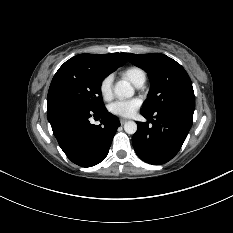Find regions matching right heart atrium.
<instances>
[{"label":"right heart atrium","instance_id":"obj_1","mask_svg":"<svg viewBox=\"0 0 233 233\" xmlns=\"http://www.w3.org/2000/svg\"><path fill=\"white\" fill-rule=\"evenodd\" d=\"M112 81V76L107 75L99 84V92L104 100H109L112 97Z\"/></svg>","mask_w":233,"mask_h":233}]
</instances>
